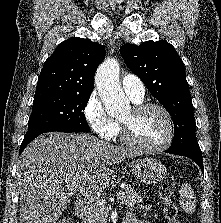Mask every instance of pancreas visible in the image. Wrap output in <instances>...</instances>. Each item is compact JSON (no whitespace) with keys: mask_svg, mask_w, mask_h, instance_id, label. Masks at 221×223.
<instances>
[{"mask_svg":"<svg viewBox=\"0 0 221 223\" xmlns=\"http://www.w3.org/2000/svg\"><path fill=\"white\" fill-rule=\"evenodd\" d=\"M122 204H124L130 210L133 208L136 209V205L138 206L139 210H150V205H142L143 198L139 196L134 189L127 185L123 190L122 195ZM109 214V210L106 207L105 202L103 204H97L96 202H92L88 209V212L83 219V223H107V217Z\"/></svg>","mask_w":221,"mask_h":223,"instance_id":"obj_1","label":"pancreas"}]
</instances>
